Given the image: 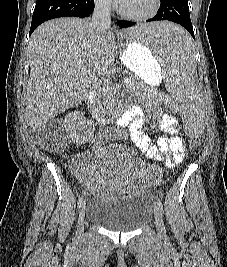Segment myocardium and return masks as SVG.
Wrapping results in <instances>:
<instances>
[{
    "label": "myocardium",
    "mask_w": 227,
    "mask_h": 267,
    "mask_svg": "<svg viewBox=\"0 0 227 267\" xmlns=\"http://www.w3.org/2000/svg\"><path fill=\"white\" fill-rule=\"evenodd\" d=\"M160 7H161V0H153L150 10H148L145 13H132L125 10L123 7L119 8V13L121 16H123L128 20L145 21L155 16L159 11Z\"/></svg>",
    "instance_id": "obj_1"
}]
</instances>
